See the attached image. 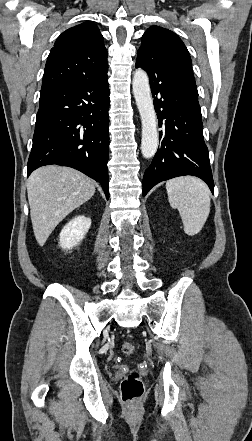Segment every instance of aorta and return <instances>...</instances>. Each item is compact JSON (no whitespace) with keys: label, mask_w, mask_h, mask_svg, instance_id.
Instances as JSON below:
<instances>
[{"label":"aorta","mask_w":252,"mask_h":441,"mask_svg":"<svg viewBox=\"0 0 252 441\" xmlns=\"http://www.w3.org/2000/svg\"><path fill=\"white\" fill-rule=\"evenodd\" d=\"M133 94L142 122L141 152L144 158L153 157L158 148L157 118L147 73L138 69L133 76Z\"/></svg>","instance_id":"aorta-1"}]
</instances>
